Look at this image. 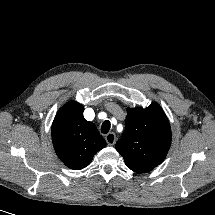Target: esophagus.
I'll return each instance as SVG.
<instances>
[{"label": "esophagus", "mask_w": 215, "mask_h": 215, "mask_svg": "<svg viewBox=\"0 0 215 215\" xmlns=\"http://www.w3.org/2000/svg\"><path fill=\"white\" fill-rule=\"evenodd\" d=\"M105 140L108 145H114L116 143V135L113 132H110L105 136Z\"/></svg>", "instance_id": "34e87169"}]
</instances>
